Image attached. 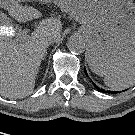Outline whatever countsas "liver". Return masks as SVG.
Instances as JSON below:
<instances>
[{
  "mask_svg": "<svg viewBox=\"0 0 135 135\" xmlns=\"http://www.w3.org/2000/svg\"><path fill=\"white\" fill-rule=\"evenodd\" d=\"M0 0V4L18 22H27L42 16L40 11L20 2ZM62 23L57 18L43 19L26 38L12 39L0 35V94L7 98H23L33 92L40 64L49 44L47 38L60 40Z\"/></svg>",
  "mask_w": 135,
  "mask_h": 135,
  "instance_id": "obj_1",
  "label": "liver"
}]
</instances>
